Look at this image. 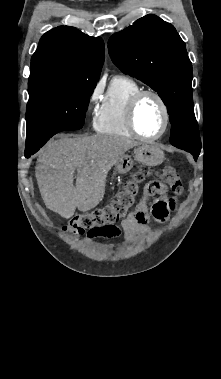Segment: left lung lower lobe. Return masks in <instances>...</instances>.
Here are the masks:
<instances>
[{
    "label": "left lung lower lobe",
    "instance_id": "obj_1",
    "mask_svg": "<svg viewBox=\"0 0 221 379\" xmlns=\"http://www.w3.org/2000/svg\"><path fill=\"white\" fill-rule=\"evenodd\" d=\"M193 156H194V159H195V160L198 158V156H196V155H193Z\"/></svg>",
    "mask_w": 221,
    "mask_h": 379
}]
</instances>
